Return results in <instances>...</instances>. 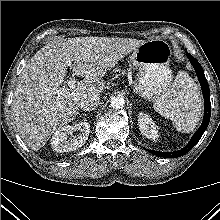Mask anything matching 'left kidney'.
Listing matches in <instances>:
<instances>
[{"instance_id": "obj_1", "label": "left kidney", "mask_w": 220, "mask_h": 220, "mask_svg": "<svg viewBox=\"0 0 220 220\" xmlns=\"http://www.w3.org/2000/svg\"><path fill=\"white\" fill-rule=\"evenodd\" d=\"M138 125L141 133L148 139L156 140L158 138V130L155 123L146 113L140 112L138 115Z\"/></svg>"}]
</instances>
